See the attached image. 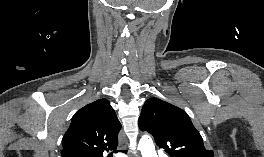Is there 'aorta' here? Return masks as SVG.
<instances>
[{
    "label": "aorta",
    "instance_id": "762f6f07",
    "mask_svg": "<svg viewBox=\"0 0 264 157\" xmlns=\"http://www.w3.org/2000/svg\"><path fill=\"white\" fill-rule=\"evenodd\" d=\"M138 147L141 150L142 157H156L155 147L150 138L143 137Z\"/></svg>",
    "mask_w": 264,
    "mask_h": 157
}]
</instances>
